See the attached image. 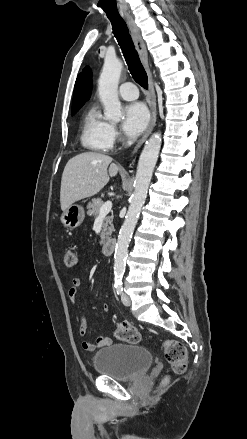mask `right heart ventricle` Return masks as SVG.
<instances>
[{"mask_svg": "<svg viewBox=\"0 0 247 439\" xmlns=\"http://www.w3.org/2000/svg\"><path fill=\"white\" fill-rule=\"evenodd\" d=\"M110 124L101 116L96 106H91L83 115L80 127V142L88 150L106 152L113 147Z\"/></svg>", "mask_w": 247, "mask_h": 439, "instance_id": "right-heart-ventricle-1", "label": "right heart ventricle"}]
</instances>
